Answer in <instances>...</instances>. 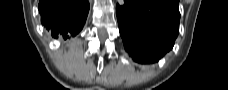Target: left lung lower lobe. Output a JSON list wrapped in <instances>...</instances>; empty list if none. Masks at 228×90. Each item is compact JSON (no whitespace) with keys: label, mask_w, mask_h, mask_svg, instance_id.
<instances>
[{"label":"left lung lower lobe","mask_w":228,"mask_h":90,"mask_svg":"<svg viewBox=\"0 0 228 90\" xmlns=\"http://www.w3.org/2000/svg\"><path fill=\"white\" fill-rule=\"evenodd\" d=\"M179 0H124L116 7L126 50L141 63L156 62L179 33Z\"/></svg>","instance_id":"obj_1"}]
</instances>
